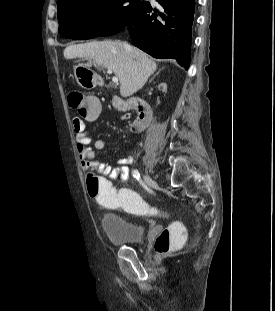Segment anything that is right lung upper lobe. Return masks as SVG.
<instances>
[{"label":"right lung upper lobe","instance_id":"cb5924a9","mask_svg":"<svg viewBox=\"0 0 275 311\" xmlns=\"http://www.w3.org/2000/svg\"><path fill=\"white\" fill-rule=\"evenodd\" d=\"M70 0H57V6Z\"/></svg>","mask_w":275,"mask_h":311}]
</instances>
